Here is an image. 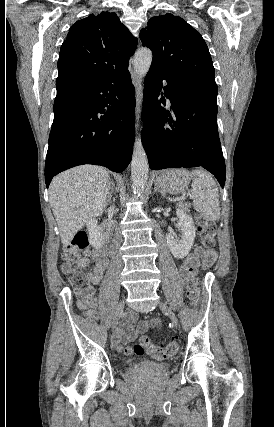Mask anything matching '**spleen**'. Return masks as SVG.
I'll use <instances>...</instances> for the list:
<instances>
[{
	"mask_svg": "<svg viewBox=\"0 0 274 427\" xmlns=\"http://www.w3.org/2000/svg\"><path fill=\"white\" fill-rule=\"evenodd\" d=\"M193 208L206 219H220L219 194L215 180L205 170H193Z\"/></svg>",
	"mask_w": 274,
	"mask_h": 427,
	"instance_id": "spleen-1",
	"label": "spleen"
}]
</instances>
